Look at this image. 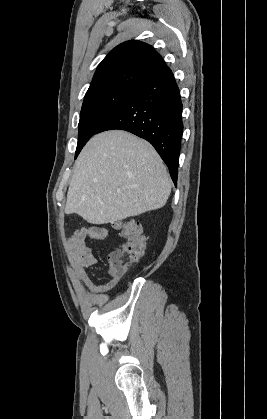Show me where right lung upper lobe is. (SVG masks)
<instances>
[{
    "label": "right lung upper lobe",
    "instance_id": "obj_1",
    "mask_svg": "<svg viewBox=\"0 0 267 419\" xmlns=\"http://www.w3.org/2000/svg\"><path fill=\"white\" fill-rule=\"evenodd\" d=\"M167 67L150 45L131 40L121 43L102 60L85 97L109 90L138 88Z\"/></svg>",
    "mask_w": 267,
    "mask_h": 419
}]
</instances>
